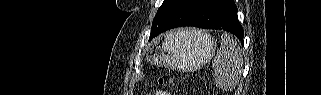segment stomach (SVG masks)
<instances>
[{
	"instance_id": "obj_1",
	"label": "stomach",
	"mask_w": 321,
	"mask_h": 95,
	"mask_svg": "<svg viewBox=\"0 0 321 95\" xmlns=\"http://www.w3.org/2000/svg\"><path fill=\"white\" fill-rule=\"evenodd\" d=\"M215 49L216 42L211 36L199 30L185 29L169 32L161 43H155L150 59L160 66L193 70L209 61Z\"/></svg>"
}]
</instances>
